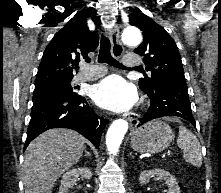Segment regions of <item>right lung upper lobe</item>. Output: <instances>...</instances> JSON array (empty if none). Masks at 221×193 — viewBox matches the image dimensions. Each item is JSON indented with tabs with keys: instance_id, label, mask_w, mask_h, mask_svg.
<instances>
[{
	"instance_id": "right-lung-upper-lobe-1",
	"label": "right lung upper lobe",
	"mask_w": 221,
	"mask_h": 193,
	"mask_svg": "<svg viewBox=\"0 0 221 193\" xmlns=\"http://www.w3.org/2000/svg\"><path fill=\"white\" fill-rule=\"evenodd\" d=\"M97 32H91L82 14H76L58 31L45 49L38 68L35 86L68 82L73 68L98 46Z\"/></svg>"
}]
</instances>
